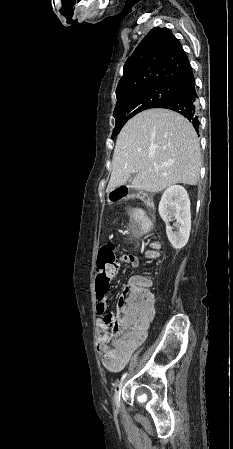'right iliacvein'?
<instances>
[{"label": "right iliac vein", "mask_w": 233, "mask_h": 449, "mask_svg": "<svg viewBox=\"0 0 233 449\" xmlns=\"http://www.w3.org/2000/svg\"><path fill=\"white\" fill-rule=\"evenodd\" d=\"M123 384H124V382H121L119 387L117 388V390L114 393V403L117 407L120 405V393H121V388H122Z\"/></svg>", "instance_id": "right-iliac-vein-1"}]
</instances>
